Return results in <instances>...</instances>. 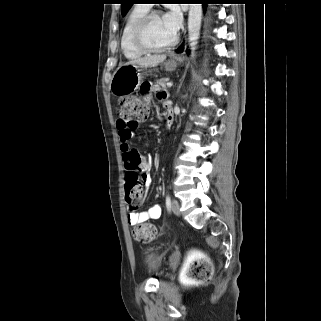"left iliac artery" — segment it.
I'll use <instances>...</instances> for the list:
<instances>
[{
    "label": "left iliac artery",
    "instance_id": "obj_1",
    "mask_svg": "<svg viewBox=\"0 0 321 321\" xmlns=\"http://www.w3.org/2000/svg\"><path fill=\"white\" fill-rule=\"evenodd\" d=\"M166 207H167V209L170 211L171 198H170V195H169V194L166 196Z\"/></svg>",
    "mask_w": 321,
    "mask_h": 321
}]
</instances>
